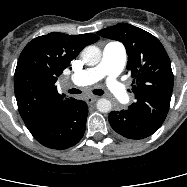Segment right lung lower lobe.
I'll return each mask as SVG.
<instances>
[{"mask_svg":"<svg viewBox=\"0 0 187 187\" xmlns=\"http://www.w3.org/2000/svg\"><path fill=\"white\" fill-rule=\"evenodd\" d=\"M88 106L74 98L29 131L42 145L63 150L77 144L85 132Z\"/></svg>","mask_w":187,"mask_h":187,"instance_id":"obj_1","label":"right lung lower lobe"}]
</instances>
